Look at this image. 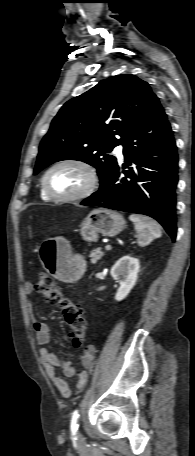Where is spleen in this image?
<instances>
[{"instance_id":"obj_1","label":"spleen","mask_w":195,"mask_h":456,"mask_svg":"<svg viewBox=\"0 0 195 456\" xmlns=\"http://www.w3.org/2000/svg\"><path fill=\"white\" fill-rule=\"evenodd\" d=\"M129 219L134 223L137 232V241L140 246H145L153 239L161 237V227L157 221L136 214H131Z\"/></svg>"}]
</instances>
